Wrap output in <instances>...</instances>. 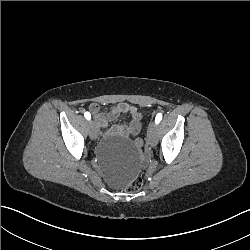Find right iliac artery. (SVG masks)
<instances>
[{
	"instance_id": "82829eb1",
	"label": "right iliac artery",
	"mask_w": 250,
	"mask_h": 250,
	"mask_svg": "<svg viewBox=\"0 0 250 250\" xmlns=\"http://www.w3.org/2000/svg\"><path fill=\"white\" fill-rule=\"evenodd\" d=\"M84 116L87 120H90L91 119V114L89 112H85L84 113Z\"/></svg>"
}]
</instances>
